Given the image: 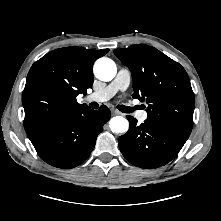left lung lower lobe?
I'll use <instances>...</instances> for the list:
<instances>
[{
  "label": "left lung lower lobe",
  "mask_w": 221,
  "mask_h": 221,
  "mask_svg": "<svg viewBox=\"0 0 221 221\" xmlns=\"http://www.w3.org/2000/svg\"><path fill=\"white\" fill-rule=\"evenodd\" d=\"M128 132L119 137L118 145L123 156L140 168H157L170 162L181 150L189 135L169 127L127 116Z\"/></svg>",
  "instance_id": "obj_1"
}]
</instances>
